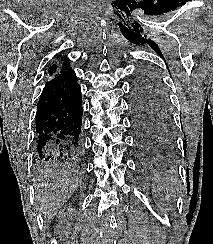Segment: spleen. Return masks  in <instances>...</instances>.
I'll return each instance as SVG.
<instances>
[{"instance_id":"1","label":"spleen","mask_w":213,"mask_h":244,"mask_svg":"<svg viewBox=\"0 0 213 244\" xmlns=\"http://www.w3.org/2000/svg\"><path fill=\"white\" fill-rule=\"evenodd\" d=\"M163 190L166 195H171L175 191L174 183L170 179H166L163 184Z\"/></svg>"}]
</instances>
